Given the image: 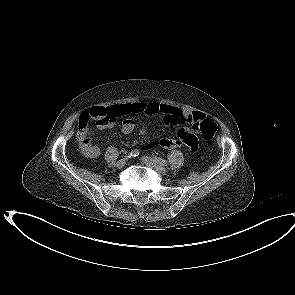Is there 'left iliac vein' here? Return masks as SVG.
Segmentation results:
<instances>
[{"label": "left iliac vein", "mask_w": 295, "mask_h": 295, "mask_svg": "<svg viewBox=\"0 0 295 295\" xmlns=\"http://www.w3.org/2000/svg\"><path fill=\"white\" fill-rule=\"evenodd\" d=\"M142 161L145 165H147L148 167H151L153 169H155L156 171H158L159 173H162V174H166L167 173V169L157 163L153 158L149 157V156H143L142 157Z\"/></svg>", "instance_id": "4c4485c4"}]
</instances>
